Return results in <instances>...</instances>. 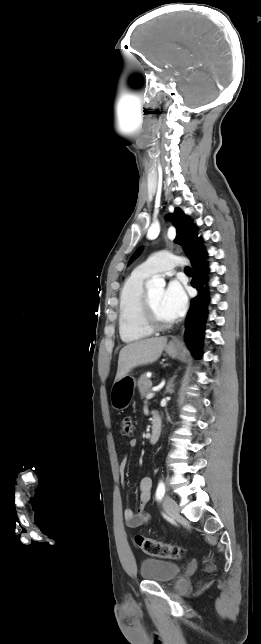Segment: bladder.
<instances>
[{
	"label": "bladder",
	"mask_w": 261,
	"mask_h": 644,
	"mask_svg": "<svg viewBox=\"0 0 261 644\" xmlns=\"http://www.w3.org/2000/svg\"><path fill=\"white\" fill-rule=\"evenodd\" d=\"M181 571L177 563L159 560L144 559L140 564V575L143 579L159 583L169 582L175 579Z\"/></svg>",
	"instance_id": "bladder-1"
}]
</instances>
